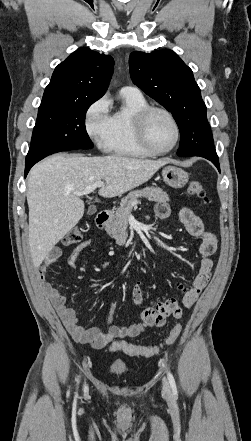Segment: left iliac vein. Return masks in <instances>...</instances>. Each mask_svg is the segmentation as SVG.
Segmentation results:
<instances>
[{
	"label": "left iliac vein",
	"instance_id": "obj_1",
	"mask_svg": "<svg viewBox=\"0 0 251 441\" xmlns=\"http://www.w3.org/2000/svg\"><path fill=\"white\" fill-rule=\"evenodd\" d=\"M162 390H163V394L167 397L171 396V388L169 385V382L167 381L166 378L163 379V385H162Z\"/></svg>",
	"mask_w": 251,
	"mask_h": 441
}]
</instances>
